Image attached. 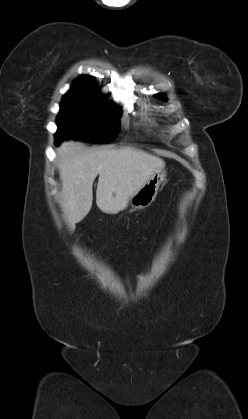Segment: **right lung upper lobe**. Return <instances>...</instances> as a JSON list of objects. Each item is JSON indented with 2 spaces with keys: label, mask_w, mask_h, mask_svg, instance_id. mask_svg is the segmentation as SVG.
Wrapping results in <instances>:
<instances>
[{
  "label": "right lung upper lobe",
  "mask_w": 248,
  "mask_h": 419,
  "mask_svg": "<svg viewBox=\"0 0 248 419\" xmlns=\"http://www.w3.org/2000/svg\"><path fill=\"white\" fill-rule=\"evenodd\" d=\"M66 95L78 96L97 101H105L104 96L99 93L96 82L86 76H82L76 79Z\"/></svg>",
  "instance_id": "1"
}]
</instances>
